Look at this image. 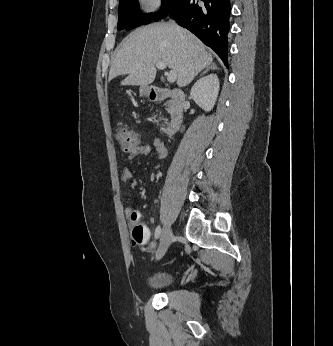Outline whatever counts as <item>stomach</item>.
Segmentation results:
<instances>
[{"label": "stomach", "instance_id": "1", "mask_svg": "<svg viewBox=\"0 0 333 346\" xmlns=\"http://www.w3.org/2000/svg\"><path fill=\"white\" fill-rule=\"evenodd\" d=\"M148 92H149L148 87H141V88H140V94H141L142 96L148 95Z\"/></svg>", "mask_w": 333, "mask_h": 346}]
</instances>
